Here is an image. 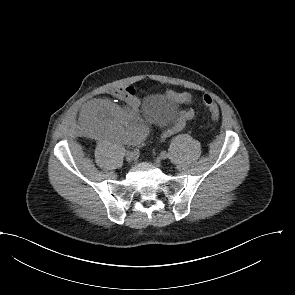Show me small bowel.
Here are the masks:
<instances>
[{
    "mask_svg": "<svg viewBox=\"0 0 295 295\" xmlns=\"http://www.w3.org/2000/svg\"><path fill=\"white\" fill-rule=\"evenodd\" d=\"M112 95L125 101L131 110H123L109 100L96 99L85 104L81 111L82 121L100 135L124 143L139 144L149 134V126L138 115L140 99L131 86L120 87L112 91ZM167 95L175 101L188 104L192 101L188 93L167 90ZM194 115L192 109L181 113L177 121L168 128L163 137L180 131L185 122Z\"/></svg>",
    "mask_w": 295,
    "mask_h": 295,
    "instance_id": "small-bowel-1",
    "label": "small bowel"
}]
</instances>
